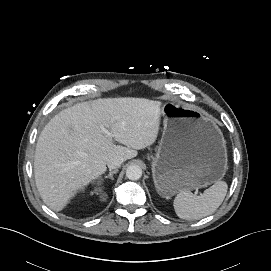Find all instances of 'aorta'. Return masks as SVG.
<instances>
[{"mask_svg":"<svg viewBox=\"0 0 271 271\" xmlns=\"http://www.w3.org/2000/svg\"><path fill=\"white\" fill-rule=\"evenodd\" d=\"M126 176L129 180L136 181L142 176V169L138 165H130L126 169Z\"/></svg>","mask_w":271,"mask_h":271,"instance_id":"762f6f07","label":"aorta"}]
</instances>
